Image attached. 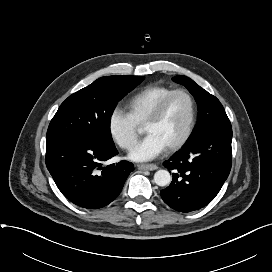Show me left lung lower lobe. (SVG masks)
Returning <instances> with one entry per match:
<instances>
[{
	"mask_svg": "<svg viewBox=\"0 0 272 272\" xmlns=\"http://www.w3.org/2000/svg\"><path fill=\"white\" fill-rule=\"evenodd\" d=\"M232 128L205 133L189 142L164 166L172 170L171 184L161 190L171 208L190 212L210 203L227 179L232 165Z\"/></svg>",
	"mask_w": 272,
	"mask_h": 272,
	"instance_id": "0a47b994",
	"label": "left lung lower lobe"
}]
</instances>
